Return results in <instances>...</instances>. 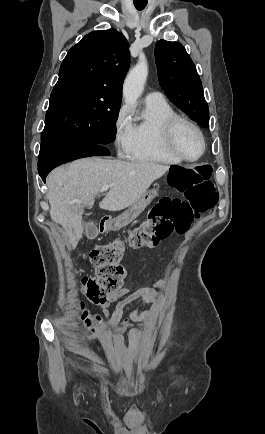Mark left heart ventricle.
I'll use <instances>...</instances> for the list:
<instances>
[{
	"label": "left heart ventricle",
	"instance_id": "obj_1",
	"mask_svg": "<svg viewBox=\"0 0 265 434\" xmlns=\"http://www.w3.org/2000/svg\"><path fill=\"white\" fill-rule=\"evenodd\" d=\"M177 144L182 155L189 159L198 157L202 151L200 138L187 126L181 127L177 136Z\"/></svg>",
	"mask_w": 265,
	"mask_h": 434
}]
</instances>
